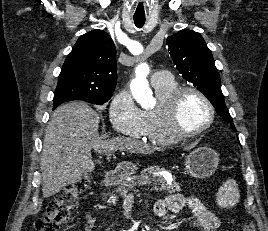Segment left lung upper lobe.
Returning <instances> with one entry per match:
<instances>
[{"label":"left lung upper lobe","instance_id":"1","mask_svg":"<svg viewBox=\"0 0 268 231\" xmlns=\"http://www.w3.org/2000/svg\"><path fill=\"white\" fill-rule=\"evenodd\" d=\"M166 43L183 78L209 99L221 117L232 122L221 91L218 70L203 37L197 32L183 29L168 37ZM231 127L236 131L232 123Z\"/></svg>","mask_w":268,"mask_h":231}]
</instances>
